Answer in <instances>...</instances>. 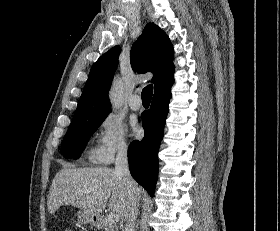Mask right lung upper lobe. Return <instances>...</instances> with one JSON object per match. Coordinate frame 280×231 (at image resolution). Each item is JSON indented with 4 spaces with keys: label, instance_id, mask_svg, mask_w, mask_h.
<instances>
[{
    "label": "right lung upper lobe",
    "instance_id": "obj_1",
    "mask_svg": "<svg viewBox=\"0 0 280 231\" xmlns=\"http://www.w3.org/2000/svg\"><path fill=\"white\" fill-rule=\"evenodd\" d=\"M119 53L120 48L113 47L92 66L70 125L107 117L111 106L108 91L117 67ZM173 58V46L168 36L154 23L146 25L130 52L133 70L138 73L151 71L154 74L152 78L154 95L171 90L174 83Z\"/></svg>",
    "mask_w": 280,
    "mask_h": 231
}]
</instances>
